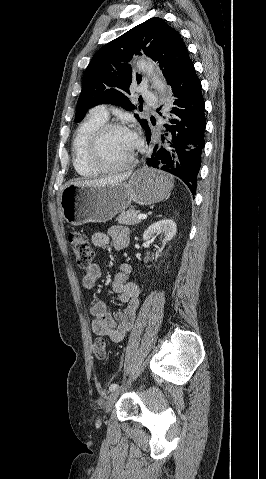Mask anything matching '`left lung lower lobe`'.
Instances as JSON below:
<instances>
[{
  "instance_id": "left-lung-lower-lobe-1",
  "label": "left lung lower lobe",
  "mask_w": 266,
  "mask_h": 479,
  "mask_svg": "<svg viewBox=\"0 0 266 479\" xmlns=\"http://www.w3.org/2000/svg\"><path fill=\"white\" fill-rule=\"evenodd\" d=\"M176 116L167 125L170 132L159 143L151 141V130L146 128L147 143H151L146 155L148 166L166 171L179 177L196 194L197 176L204 148L206 120L205 103L201 93V82L194 64L189 62L172 84Z\"/></svg>"
}]
</instances>
